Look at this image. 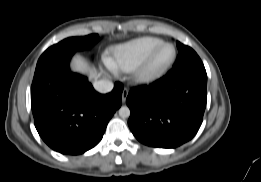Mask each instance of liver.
I'll list each match as a JSON object with an SVG mask.
<instances>
[{
    "label": "liver",
    "instance_id": "liver-1",
    "mask_svg": "<svg viewBox=\"0 0 261 182\" xmlns=\"http://www.w3.org/2000/svg\"><path fill=\"white\" fill-rule=\"evenodd\" d=\"M72 70L74 72L89 74V79L97 80L101 74L97 73V71L92 70L88 63L80 56H76L72 60Z\"/></svg>",
    "mask_w": 261,
    "mask_h": 182
}]
</instances>
